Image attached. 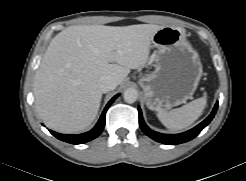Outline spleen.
I'll use <instances>...</instances> for the list:
<instances>
[{
    "label": "spleen",
    "mask_w": 246,
    "mask_h": 181,
    "mask_svg": "<svg viewBox=\"0 0 246 181\" xmlns=\"http://www.w3.org/2000/svg\"><path fill=\"white\" fill-rule=\"evenodd\" d=\"M206 103V96H203L177 109L170 111L161 109L157 117L170 130L185 129L202 115Z\"/></svg>",
    "instance_id": "spleen-1"
}]
</instances>
